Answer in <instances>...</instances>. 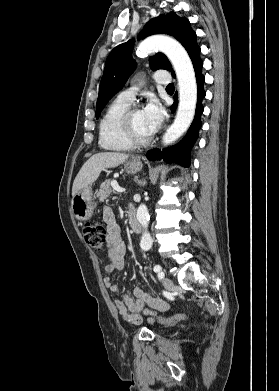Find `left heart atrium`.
I'll return each mask as SVG.
<instances>
[{
    "instance_id": "left-heart-atrium-1",
    "label": "left heart atrium",
    "mask_w": 279,
    "mask_h": 391,
    "mask_svg": "<svg viewBox=\"0 0 279 391\" xmlns=\"http://www.w3.org/2000/svg\"><path fill=\"white\" fill-rule=\"evenodd\" d=\"M145 120L150 131L153 133L164 118V110L156 99H150L143 109Z\"/></svg>"
}]
</instances>
